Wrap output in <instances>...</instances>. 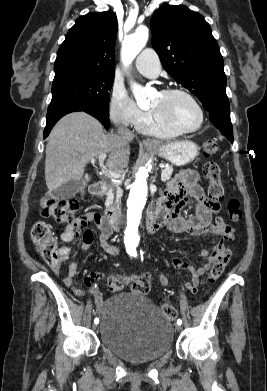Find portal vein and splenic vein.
Here are the masks:
<instances>
[{"mask_svg":"<svg viewBox=\"0 0 267 391\" xmlns=\"http://www.w3.org/2000/svg\"><path fill=\"white\" fill-rule=\"evenodd\" d=\"M107 157V155L106 154H101L100 156H99V162H103L104 161V159ZM93 162V161H92ZM160 168H164V166L163 165H160ZM102 173L105 175V176H108V177H110V178H115V179H117V178H121L122 176H121V173L120 172H115V171H111V170H107V169H102Z\"/></svg>","mask_w":267,"mask_h":391,"instance_id":"obj_1","label":"portal vein and splenic vein"}]
</instances>
